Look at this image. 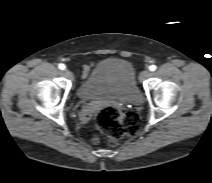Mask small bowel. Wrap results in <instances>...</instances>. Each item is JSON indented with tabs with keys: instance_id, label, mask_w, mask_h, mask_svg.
<instances>
[{
	"instance_id": "small-bowel-1",
	"label": "small bowel",
	"mask_w": 212,
	"mask_h": 183,
	"mask_svg": "<svg viewBox=\"0 0 212 183\" xmlns=\"http://www.w3.org/2000/svg\"><path fill=\"white\" fill-rule=\"evenodd\" d=\"M90 68H91V65L90 64H88V65H86L84 67V75H86L88 73V71L90 70Z\"/></svg>"
}]
</instances>
